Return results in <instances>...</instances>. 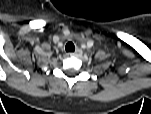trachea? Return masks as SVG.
<instances>
[{"label":"trachea","instance_id":"3493384b","mask_svg":"<svg viewBox=\"0 0 151 114\" xmlns=\"http://www.w3.org/2000/svg\"><path fill=\"white\" fill-rule=\"evenodd\" d=\"M66 52H74L75 51V46L72 42H68L65 46Z\"/></svg>","mask_w":151,"mask_h":114}]
</instances>
